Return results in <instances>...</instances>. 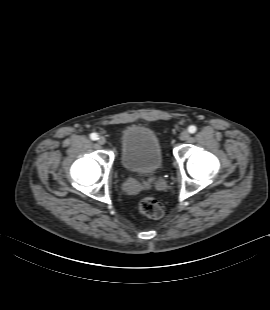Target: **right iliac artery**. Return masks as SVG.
Returning a JSON list of instances; mask_svg holds the SVG:
<instances>
[{"instance_id":"right-iliac-artery-1","label":"right iliac artery","mask_w":270,"mask_h":310,"mask_svg":"<svg viewBox=\"0 0 270 310\" xmlns=\"http://www.w3.org/2000/svg\"><path fill=\"white\" fill-rule=\"evenodd\" d=\"M90 138H91L92 140H97V139H98V135H97L96 133H92V134L90 135Z\"/></svg>"}]
</instances>
